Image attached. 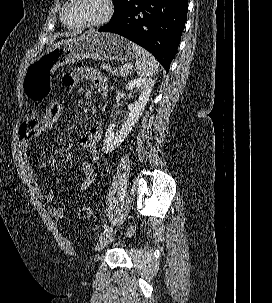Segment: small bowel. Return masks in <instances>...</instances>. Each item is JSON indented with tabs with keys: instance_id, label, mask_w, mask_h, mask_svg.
<instances>
[{
	"instance_id": "obj_1",
	"label": "small bowel",
	"mask_w": 272,
	"mask_h": 303,
	"mask_svg": "<svg viewBox=\"0 0 272 303\" xmlns=\"http://www.w3.org/2000/svg\"><path fill=\"white\" fill-rule=\"evenodd\" d=\"M89 80L93 83L98 95L105 98L108 93V85L105 77L102 73L93 68H78L64 74L61 77L63 85L68 87L76 86L81 80ZM20 140L18 144L19 161L24 172L26 179L32 186L35 196L43 204H50L55 196L56 189L51 188L48 192H43L38 183V174L30 163L29 149L31 143L41 137L39 131V114L36 110H30L27 113L26 118L20 126L19 130ZM102 135V125L96 123L91 126L85 133H83L79 139V147L84 151L90 161L83 163L82 171L84 173L83 182L81 184L82 189H87L95 180V169L93 166L94 161L99 158L97 150V142ZM56 165V159L53 156H49L41 165L39 169L43 170L47 166L54 167ZM64 209L62 207H52L50 213L56 218L63 216Z\"/></svg>"
}]
</instances>
